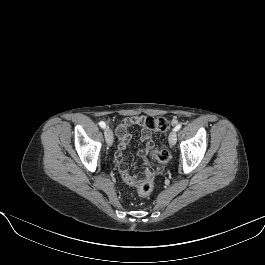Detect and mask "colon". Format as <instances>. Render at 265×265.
<instances>
[{
  "mask_svg": "<svg viewBox=\"0 0 265 265\" xmlns=\"http://www.w3.org/2000/svg\"><path fill=\"white\" fill-rule=\"evenodd\" d=\"M142 124L150 130L166 132L169 129V122L164 117H146ZM170 159V152L165 144H160L150 151L147 163L151 165H162ZM151 172L148 171L138 184V190L142 195H147L152 191L153 185L150 180Z\"/></svg>",
  "mask_w": 265,
  "mask_h": 265,
  "instance_id": "obj_1",
  "label": "colon"
}]
</instances>
